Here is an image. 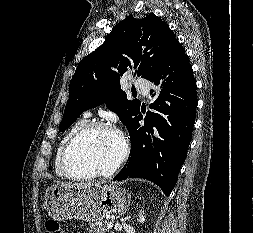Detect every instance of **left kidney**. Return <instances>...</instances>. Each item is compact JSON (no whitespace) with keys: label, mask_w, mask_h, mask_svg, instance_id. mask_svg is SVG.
<instances>
[{"label":"left kidney","mask_w":253,"mask_h":233,"mask_svg":"<svg viewBox=\"0 0 253 233\" xmlns=\"http://www.w3.org/2000/svg\"><path fill=\"white\" fill-rule=\"evenodd\" d=\"M145 215H144V211L142 212V210L139 211V214H138V221L140 223H144L145 222Z\"/></svg>","instance_id":"1"}]
</instances>
